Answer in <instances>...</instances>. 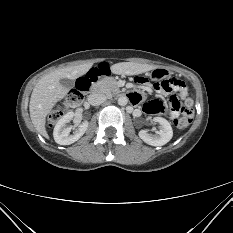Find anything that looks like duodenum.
Instances as JSON below:
<instances>
[{
    "label": "duodenum",
    "mask_w": 233,
    "mask_h": 233,
    "mask_svg": "<svg viewBox=\"0 0 233 233\" xmlns=\"http://www.w3.org/2000/svg\"><path fill=\"white\" fill-rule=\"evenodd\" d=\"M110 71V66L107 63H100L97 67H93L90 71L85 74V80L88 83H93L101 74H107ZM91 93H101L99 86H92L90 88ZM132 100V96H130Z\"/></svg>",
    "instance_id": "obj_1"
}]
</instances>
